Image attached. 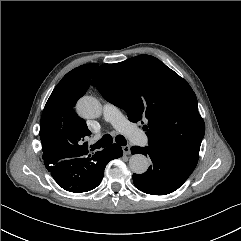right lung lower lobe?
I'll return each mask as SVG.
<instances>
[{"label": "right lung lower lobe", "instance_id": "right-lung-lower-lobe-1", "mask_svg": "<svg viewBox=\"0 0 241 241\" xmlns=\"http://www.w3.org/2000/svg\"><path fill=\"white\" fill-rule=\"evenodd\" d=\"M122 155L121 147L113 144L92 155L83 153L59 160H43L60 187L69 192L82 193L96 188L102 181L108 162Z\"/></svg>", "mask_w": 241, "mask_h": 241}]
</instances>
